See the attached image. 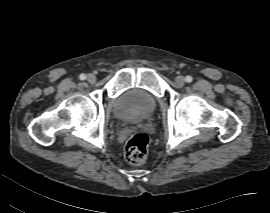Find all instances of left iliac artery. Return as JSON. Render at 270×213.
<instances>
[{
  "mask_svg": "<svg viewBox=\"0 0 270 213\" xmlns=\"http://www.w3.org/2000/svg\"><path fill=\"white\" fill-rule=\"evenodd\" d=\"M185 80H186V82L190 83V82H192L193 78L191 76H187L185 78Z\"/></svg>",
  "mask_w": 270,
  "mask_h": 213,
  "instance_id": "44dca946",
  "label": "left iliac artery"
}]
</instances>
